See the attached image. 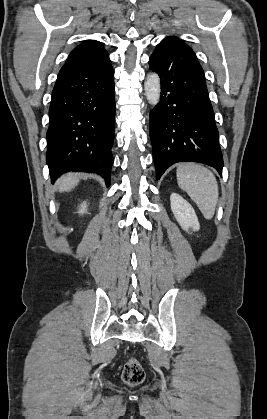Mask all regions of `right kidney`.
<instances>
[{
    "label": "right kidney",
    "mask_w": 267,
    "mask_h": 419,
    "mask_svg": "<svg viewBox=\"0 0 267 419\" xmlns=\"http://www.w3.org/2000/svg\"><path fill=\"white\" fill-rule=\"evenodd\" d=\"M79 214L87 213V204L86 202H83L80 206V210L78 211Z\"/></svg>",
    "instance_id": "1"
}]
</instances>
